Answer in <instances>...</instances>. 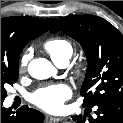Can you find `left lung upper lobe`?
I'll use <instances>...</instances> for the list:
<instances>
[{
	"label": "left lung upper lobe",
	"mask_w": 123,
	"mask_h": 123,
	"mask_svg": "<svg viewBox=\"0 0 123 123\" xmlns=\"http://www.w3.org/2000/svg\"><path fill=\"white\" fill-rule=\"evenodd\" d=\"M60 30L78 41L87 57V73L81 88L83 106L123 98L122 34L105 19L93 15L60 18L50 32Z\"/></svg>",
	"instance_id": "obj_1"
}]
</instances>
